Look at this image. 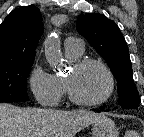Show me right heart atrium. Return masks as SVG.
I'll use <instances>...</instances> for the list:
<instances>
[{"instance_id": "d8ad5b80", "label": "right heart atrium", "mask_w": 144, "mask_h": 137, "mask_svg": "<svg viewBox=\"0 0 144 137\" xmlns=\"http://www.w3.org/2000/svg\"><path fill=\"white\" fill-rule=\"evenodd\" d=\"M27 83L36 101L45 107H55L61 102L63 93L57 77L36 63L30 70Z\"/></svg>"}]
</instances>
